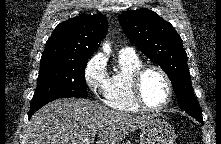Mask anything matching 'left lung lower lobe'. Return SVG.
I'll list each match as a JSON object with an SVG mask.
<instances>
[{
    "instance_id": "0a47b994",
    "label": "left lung lower lobe",
    "mask_w": 221,
    "mask_h": 144,
    "mask_svg": "<svg viewBox=\"0 0 221 144\" xmlns=\"http://www.w3.org/2000/svg\"><path fill=\"white\" fill-rule=\"evenodd\" d=\"M196 120H198L200 123L204 124L203 119L201 116H193Z\"/></svg>"
}]
</instances>
